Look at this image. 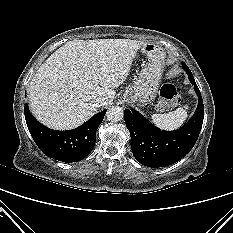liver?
Returning <instances> with one entry per match:
<instances>
[{"label": "liver", "instance_id": "1", "mask_svg": "<svg viewBox=\"0 0 233 233\" xmlns=\"http://www.w3.org/2000/svg\"><path fill=\"white\" fill-rule=\"evenodd\" d=\"M144 42L129 39L72 40L38 69L28 88L30 109L45 126L69 130L96 113L93 101L110 104L129 76Z\"/></svg>", "mask_w": 233, "mask_h": 233}]
</instances>
